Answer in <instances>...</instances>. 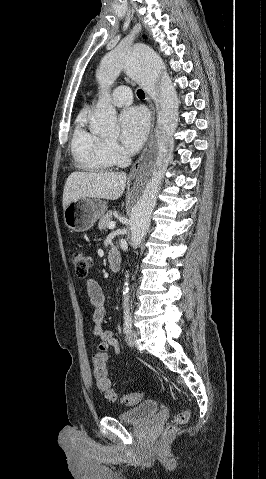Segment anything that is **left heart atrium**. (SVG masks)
Listing matches in <instances>:
<instances>
[{
    "mask_svg": "<svg viewBox=\"0 0 266 479\" xmlns=\"http://www.w3.org/2000/svg\"><path fill=\"white\" fill-rule=\"evenodd\" d=\"M121 141L125 149L135 153L142 146L149 129V118L141 108H130L120 116Z\"/></svg>",
    "mask_w": 266,
    "mask_h": 479,
    "instance_id": "39dd6f15",
    "label": "left heart atrium"
}]
</instances>
